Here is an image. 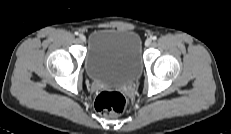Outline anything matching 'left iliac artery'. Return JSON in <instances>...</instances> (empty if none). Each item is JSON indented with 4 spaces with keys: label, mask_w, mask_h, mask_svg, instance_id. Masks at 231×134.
<instances>
[{
    "label": "left iliac artery",
    "mask_w": 231,
    "mask_h": 134,
    "mask_svg": "<svg viewBox=\"0 0 231 134\" xmlns=\"http://www.w3.org/2000/svg\"><path fill=\"white\" fill-rule=\"evenodd\" d=\"M152 39H153V40H156V39H157V37H156V36H153V37H152Z\"/></svg>",
    "instance_id": "44dca946"
}]
</instances>
